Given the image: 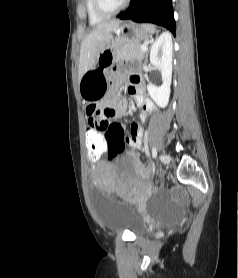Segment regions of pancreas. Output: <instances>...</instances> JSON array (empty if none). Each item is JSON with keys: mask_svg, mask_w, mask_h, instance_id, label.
<instances>
[{"mask_svg": "<svg viewBox=\"0 0 238 278\" xmlns=\"http://www.w3.org/2000/svg\"><path fill=\"white\" fill-rule=\"evenodd\" d=\"M140 43L126 44L116 52V61L123 60H140L144 57L145 52L140 49Z\"/></svg>", "mask_w": 238, "mask_h": 278, "instance_id": "obj_1", "label": "pancreas"}]
</instances>
